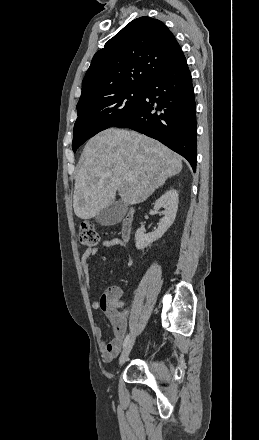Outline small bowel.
Returning a JSON list of instances; mask_svg holds the SVG:
<instances>
[{"instance_id":"small-bowel-1","label":"small bowel","mask_w":259,"mask_h":440,"mask_svg":"<svg viewBox=\"0 0 259 440\" xmlns=\"http://www.w3.org/2000/svg\"><path fill=\"white\" fill-rule=\"evenodd\" d=\"M125 241L120 238H110L102 241L101 246L104 248H110L114 246H125ZM98 248H88L84 251L81 257V267L85 275V283L87 289L90 288L89 275L92 265V259L96 255ZM105 256H100L98 260H105ZM132 258L129 256L127 259V265H132ZM121 290L118 287L109 288L100 299H95L92 302V308L95 310H102L113 327V339L109 342H103L102 331L100 328L96 329V336L100 340V352L104 361L113 360L122 345L123 338L127 328V322L125 317L115 308L114 302L120 297Z\"/></svg>"}]
</instances>
